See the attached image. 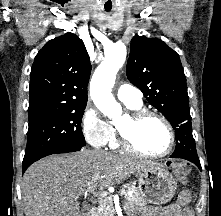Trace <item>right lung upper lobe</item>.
Segmentation results:
<instances>
[{"mask_svg":"<svg viewBox=\"0 0 221 216\" xmlns=\"http://www.w3.org/2000/svg\"><path fill=\"white\" fill-rule=\"evenodd\" d=\"M90 73L89 56L79 37L67 33L50 40L31 69L29 119L86 106Z\"/></svg>","mask_w":221,"mask_h":216,"instance_id":"cb5924a9","label":"right lung upper lobe"}]
</instances>
